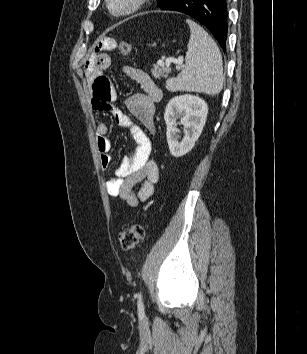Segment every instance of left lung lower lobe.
Here are the masks:
<instances>
[{
  "instance_id": "0a47b994",
  "label": "left lung lower lobe",
  "mask_w": 307,
  "mask_h": 354,
  "mask_svg": "<svg viewBox=\"0 0 307 354\" xmlns=\"http://www.w3.org/2000/svg\"><path fill=\"white\" fill-rule=\"evenodd\" d=\"M227 5V0H170L161 9L179 11L195 18L208 28L225 51L228 30Z\"/></svg>"
}]
</instances>
